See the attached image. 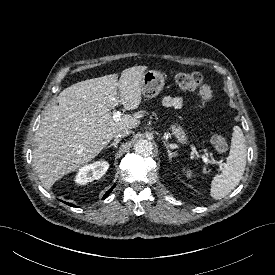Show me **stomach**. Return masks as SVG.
Listing matches in <instances>:
<instances>
[{
    "label": "stomach",
    "instance_id": "obj_1",
    "mask_svg": "<svg viewBox=\"0 0 275 275\" xmlns=\"http://www.w3.org/2000/svg\"><path fill=\"white\" fill-rule=\"evenodd\" d=\"M165 84L164 76L156 70H148L143 74L141 81V92L146 98L157 96ZM171 134L181 145H187L188 137L184 129L178 124L170 126Z\"/></svg>",
    "mask_w": 275,
    "mask_h": 275
}]
</instances>
